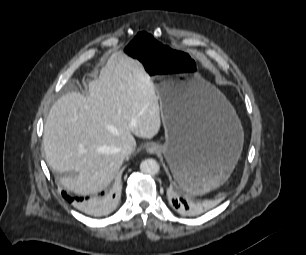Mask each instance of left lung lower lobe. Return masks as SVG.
I'll return each mask as SVG.
<instances>
[{
  "mask_svg": "<svg viewBox=\"0 0 306 255\" xmlns=\"http://www.w3.org/2000/svg\"><path fill=\"white\" fill-rule=\"evenodd\" d=\"M181 180L182 184L189 183L191 181L190 174L184 173ZM170 201L172 207L181 214L195 215L201 211L200 204L186 201L175 189L170 192Z\"/></svg>",
  "mask_w": 306,
  "mask_h": 255,
  "instance_id": "0a47b994",
  "label": "left lung lower lobe"
}]
</instances>
